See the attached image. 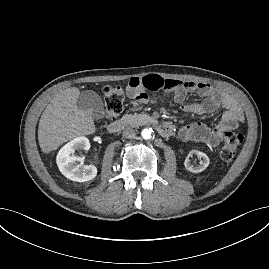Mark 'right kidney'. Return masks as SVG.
I'll return each mask as SVG.
<instances>
[{
    "mask_svg": "<svg viewBox=\"0 0 269 269\" xmlns=\"http://www.w3.org/2000/svg\"><path fill=\"white\" fill-rule=\"evenodd\" d=\"M90 142L86 137H77L64 145L57 155V165L60 172L68 179L77 182H86L94 179L97 168L94 165L77 164L80 157L75 155L77 150H89Z\"/></svg>",
    "mask_w": 269,
    "mask_h": 269,
    "instance_id": "ca27d5eb",
    "label": "right kidney"
}]
</instances>
